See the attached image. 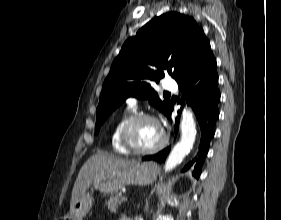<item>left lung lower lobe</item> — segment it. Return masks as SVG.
Returning a JSON list of instances; mask_svg holds the SVG:
<instances>
[{
	"label": "left lung lower lobe",
	"instance_id": "obj_1",
	"mask_svg": "<svg viewBox=\"0 0 281 220\" xmlns=\"http://www.w3.org/2000/svg\"><path fill=\"white\" fill-rule=\"evenodd\" d=\"M181 98L187 100L199 121L201 128L200 145L195 158L189 162L183 171L193 168V176L197 179L201 173L204 159L208 153L209 143L215 133V124L219 117L218 75L216 59L209 47L202 54L193 58L187 72L177 81ZM182 106L185 104L180 101ZM171 106L167 117L171 119ZM182 109L178 111L180 114ZM179 118H176L175 134L178 132ZM170 151V147L154 156H146L143 160H158L162 162Z\"/></svg>",
	"mask_w": 281,
	"mask_h": 220
}]
</instances>
